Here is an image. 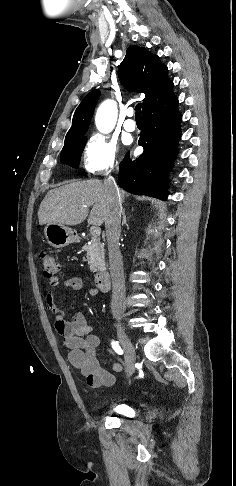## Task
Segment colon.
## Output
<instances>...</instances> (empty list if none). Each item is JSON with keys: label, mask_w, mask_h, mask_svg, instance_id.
<instances>
[{"label": "colon", "mask_w": 236, "mask_h": 486, "mask_svg": "<svg viewBox=\"0 0 236 486\" xmlns=\"http://www.w3.org/2000/svg\"><path fill=\"white\" fill-rule=\"evenodd\" d=\"M41 265L44 271L45 276L50 281L51 284L57 285L59 282V272H60V265L57 259L47 253L43 252L40 255Z\"/></svg>", "instance_id": "1"}]
</instances>
